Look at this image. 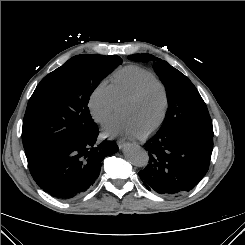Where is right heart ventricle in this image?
<instances>
[{
	"label": "right heart ventricle",
	"instance_id": "obj_1",
	"mask_svg": "<svg viewBox=\"0 0 245 245\" xmlns=\"http://www.w3.org/2000/svg\"><path fill=\"white\" fill-rule=\"evenodd\" d=\"M155 78L143 67L137 65L124 66L111 76V86L117 102H121L141 83Z\"/></svg>",
	"mask_w": 245,
	"mask_h": 245
}]
</instances>
